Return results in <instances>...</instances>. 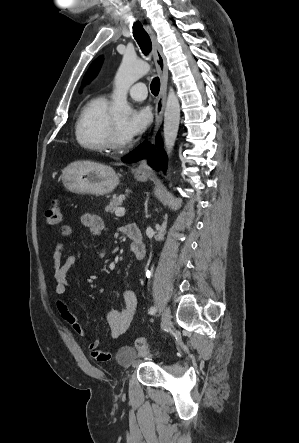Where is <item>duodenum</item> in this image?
Instances as JSON below:
<instances>
[{
    "label": "duodenum",
    "mask_w": 299,
    "mask_h": 443,
    "mask_svg": "<svg viewBox=\"0 0 299 443\" xmlns=\"http://www.w3.org/2000/svg\"><path fill=\"white\" fill-rule=\"evenodd\" d=\"M127 236L132 241L131 250L135 256H144L145 246L142 241V234L138 227L129 226L127 229Z\"/></svg>",
    "instance_id": "1"
}]
</instances>
